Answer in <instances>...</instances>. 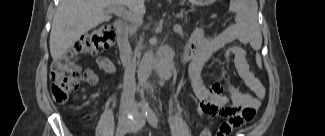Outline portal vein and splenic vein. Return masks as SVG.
<instances>
[{"instance_id": "18ae733b", "label": "portal vein and splenic vein", "mask_w": 325, "mask_h": 136, "mask_svg": "<svg viewBox=\"0 0 325 136\" xmlns=\"http://www.w3.org/2000/svg\"><path fill=\"white\" fill-rule=\"evenodd\" d=\"M109 11L113 12L116 14L118 17L136 23L140 24L142 23V16L139 13L133 12V11H128L124 9L123 7H118V8H113L109 9ZM177 29H181L180 25H176Z\"/></svg>"}]
</instances>
